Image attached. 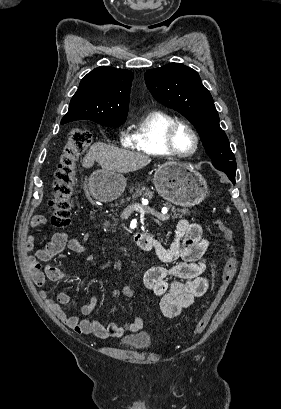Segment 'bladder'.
<instances>
[{
	"instance_id": "bladder-1",
	"label": "bladder",
	"mask_w": 281,
	"mask_h": 409,
	"mask_svg": "<svg viewBox=\"0 0 281 409\" xmlns=\"http://www.w3.org/2000/svg\"><path fill=\"white\" fill-rule=\"evenodd\" d=\"M119 347L127 348L132 352H147L154 347V338L149 331L122 336L119 339Z\"/></svg>"
}]
</instances>
